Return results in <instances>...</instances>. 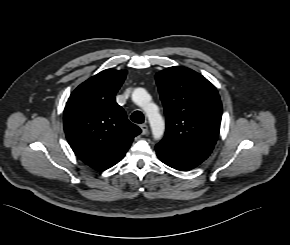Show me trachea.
<instances>
[{"label":"trachea","instance_id":"trachea-1","mask_svg":"<svg viewBox=\"0 0 290 245\" xmlns=\"http://www.w3.org/2000/svg\"><path fill=\"white\" fill-rule=\"evenodd\" d=\"M130 119H131L134 123H137V124H141V123L144 122V116H143L142 112H140V111H135V112L131 115Z\"/></svg>","mask_w":290,"mask_h":245}]
</instances>
